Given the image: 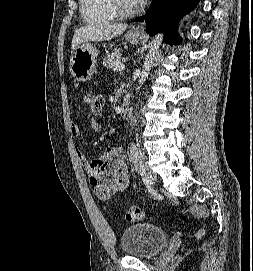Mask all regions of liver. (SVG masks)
Wrapping results in <instances>:
<instances>
[{
    "instance_id": "6515ba94",
    "label": "liver",
    "mask_w": 253,
    "mask_h": 271,
    "mask_svg": "<svg viewBox=\"0 0 253 271\" xmlns=\"http://www.w3.org/2000/svg\"><path fill=\"white\" fill-rule=\"evenodd\" d=\"M127 27V24L121 23L88 24L81 27L74 33L71 54H73L75 49L83 43H87L89 41L111 40L115 36L123 33Z\"/></svg>"
}]
</instances>
